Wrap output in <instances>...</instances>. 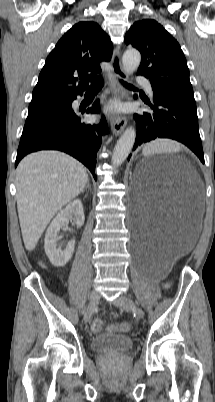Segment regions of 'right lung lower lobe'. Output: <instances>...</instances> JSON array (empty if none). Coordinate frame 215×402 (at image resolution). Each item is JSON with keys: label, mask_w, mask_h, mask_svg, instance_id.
<instances>
[{"label": "right lung lower lobe", "mask_w": 215, "mask_h": 402, "mask_svg": "<svg viewBox=\"0 0 215 402\" xmlns=\"http://www.w3.org/2000/svg\"><path fill=\"white\" fill-rule=\"evenodd\" d=\"M32 129L21 136L15 166L27 154L44 149L60 150L70 154L89 168L94 178L96 154L101 145V137L108 132L107 122L102 118L98 124H87L72 110ZM87 113H99L95 102Z\"/></svg>", "instance_id": "obj_1"}]
</instances>
